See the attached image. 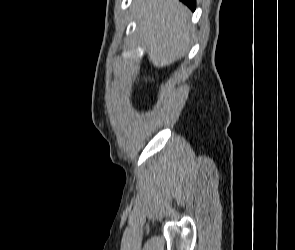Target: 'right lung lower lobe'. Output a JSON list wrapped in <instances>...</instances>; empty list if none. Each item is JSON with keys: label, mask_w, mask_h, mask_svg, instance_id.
Wrapping results in <instances>:
<instances>
[{"label": "right lung lower lobe", "mask_w": 295, "mask_h": 250, "mask_svg": "<svg viewBox=\"0 0 295 250\" xmlns=\"http://www.w3.org/2000/svg\"><path fill=\"white\" fill-rule=\"evenodd\" d=\"M184 2L191 10H195L196 8V1L195 0H181Z\"/></svg>", "instance_id": "obj_1"}]
</instances>
